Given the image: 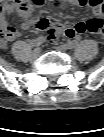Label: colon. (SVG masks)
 Here are the masks:
<instances>
[{
  "label": "colon",
  "instance_id": "obj_1",
  "mask_svg": "<svg viewBox=\"0 0 104 137\" xmlns=\"http://www.w3.org/2000/svg\"><path fill=\"white\" fill-rule=\"evenodd\" d=\"M39 27L41 29H47L46 39L52 44H57L63 37L71 38L76 33H78L76 30L70 27L60 28L53 25L45 26L44 23H40ZM84 30L87 32L94 33L96 35L100 34L103 30V20L101 18H93L89 20L88 22H86ZM11 31L12 28L10 27L6 30L3 29V31L1 32V41H3L4 38L8 35V33Z\"/></svg>",
  "mask_w": 104,
  "mask_h": 137
}]
</instances>
